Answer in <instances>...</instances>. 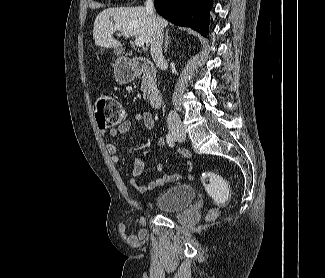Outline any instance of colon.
Here are the masks:
<instances>
[{"label":"colon","instance_id":"5ec220e1","mask_svg":"<svg viewBox=\"0 0 325 278\" xmlns=\"http://www.w3.org/2000/svg\"><path fill=\"white\" fill-rule=\"evenodd\" d=\"M94 111L98 125L102 129L118 126L125 118L124 106L107 94H102L96 98ZM202 182L207 192L217 202H225L228 199V182L218 174L212 171H206L202 175Z\"/></svg>","mask_w":325,"mask_h":278}]
</instances>
